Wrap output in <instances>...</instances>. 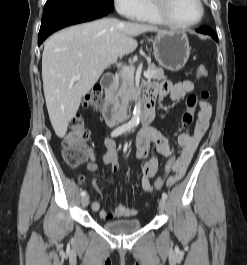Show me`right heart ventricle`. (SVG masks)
Instances as JSON below:
<instances>
[{
  "label": "right heart ventricle",
  "mask_w": 247,
  "mask_h": 265,
  "mask_svg": "<svg viewBox=\"0 0 247 265\" xmlns=\"http://www.w3.org/2000/svg\"><path fill=\"white\" fill-rule=\"evenodd\" d=\"M136 20L158 25L165 24L164 21L154 12L151 0H143V10Z\"/></svg>",
  "instance_id": "e07e8e85"
}]
</instances>
